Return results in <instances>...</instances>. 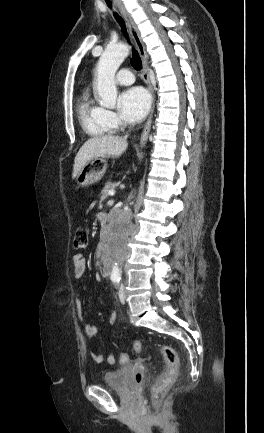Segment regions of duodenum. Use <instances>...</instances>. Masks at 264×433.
I'll use <instances>...</instances> for the list:
<instances>
[{"mask_svg": "<svg viewBox=\"0 0 264 433\" xmlns=\"http://www.w3.org/2000/svg\"><path fill=\"white\" fill-rule=\"evenodd\" d=\"M100 219L102 220V222L104 224L107 223V216L106 215H100ZM109 256V246L106 247H102L98 253H97V258L100 260L102 257H108ZM110 266L109 263H105V273L106 274H110Z\"/></svg>", "mask_w": 264, "mask_h": 433, "instance_id": "1", "label": "duodenum"}]
</instances>
